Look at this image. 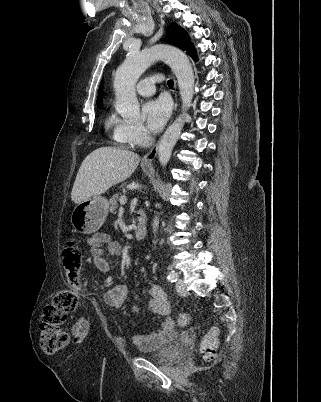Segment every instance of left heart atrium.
<instances>
[{
  "mask_svg": "<svg viewBox=\"0 0 321 402\" xmlns=\"http://www.w3.org/2000/svg\"><path fill=\"white\" fill-rule=\"evenodd\" d=\"M171 112V104L165 97L151 99L143 107L146 124L150 131L159 132L167 122Z\"/></svg>",
  "mask_w": 321,
  "mask_h": 402,
  "instance_id": "obj_1",
  "label": "left heart atrium"
}]
</instances>
